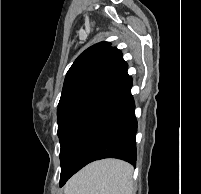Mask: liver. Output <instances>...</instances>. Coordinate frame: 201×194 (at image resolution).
Here are the masks:
<instances>
[{"mask_svg": "<svg viewBox=\"0 0 201 194\" xmlns=\"http://www.w3.org/2000/svg\"><path fill=\"white\" fill-rule=\"evenodd\" d=\"M133 167L121 160L90 163L64 187L65 194H133Z\"/></svg>", "mask_w": 201, "mask_h": 194, "instance_id": "obj_1", "label": "liver"}]
</instances>
